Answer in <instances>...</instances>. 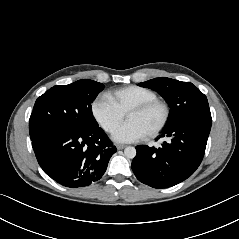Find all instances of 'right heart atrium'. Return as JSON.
Segmentation results:
<instances>
[{
	"instance_id": "right-heart-atrium-1",
	"label": "right heart atrium",
	"mask_w": 239,
	"mask_h": 239,
	"mask_svg": "<svg viewBox=\"0 0 239 239\" xmlns=\"http://www.w3.org/2000/svg\"><path fill=\"white\" fill-rule=\"evenodd\" d=\"M91 112L98 125L108 133L114 131L124 118L106 95H100L92 102Z\"/></svg>"
}]
</instances>
